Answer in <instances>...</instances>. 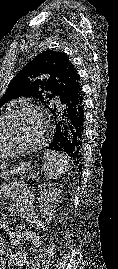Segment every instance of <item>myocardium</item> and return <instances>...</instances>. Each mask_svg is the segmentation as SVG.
Wrapping results in <instances>:
<instances>
[{"mask_svg":"<svg viewBox=\"0 0 118 269\" xmlns=\"http://www.w3.org/2000/svg\"><path fill=\"white\" fill-rule=\"evenodd\" d=\"M25 112H34L42 119L45 126L42 137L34 143H21L17 141H12V142L7 141L5 144L4 139H3V134H2L5 129V126H7V124L10 121H12L16 116L23 114ZM49 129H50V124L45 113L42 110H40L38 107L32 104H26L10 112H7L3 116V118L0 120V148L2 149L0 151L1 153L12 154V155L33 151L37 149L38 147H41L42 145L45 144L48 133H49Z\"/></svg>","mask_w":118,"mask_h":269,"instance_id":"myocardium-1","label":"myocardium"}]
</instances>
